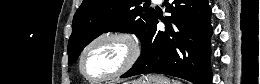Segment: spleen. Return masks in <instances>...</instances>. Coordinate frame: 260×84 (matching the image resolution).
<instances>
[{
    "label": "spleen",
    "mask_w": 260,
    "mask_h": 84,
    "mask_svg": "<svg viewBox=\"0 0 260 84\" xmlns=\"http://www.w3.org/2000/svg\"><path fill=\"white\" fill-rule=\"evenodd\" d=\"M173 84H181V82L173 80Z\"/></svg>",
    "instance_id": "spleen-1"
}]
</instances>
